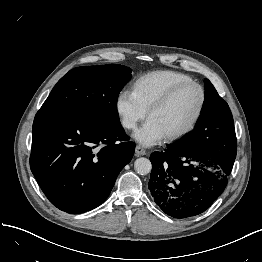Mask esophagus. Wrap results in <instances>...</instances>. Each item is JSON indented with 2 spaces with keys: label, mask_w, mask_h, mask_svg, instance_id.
I'll use <instances>...</instances> for the list:
<instances>
[{
  "label": "esophagus",
  "mask_w": 262,
  "mask_h": 262,
  "mask_svg": "<svg viewBox=\"0 0 262 262\" xmlns=\"http://www.w3.org/2000/svg\"><path fill=\"white\" fill-rule=\"evenodd\" d=\"M136 156H143L147 154V151L140 145H137L135 148Z\"/></svg>",
  "instance_id": "34e87169"
}]
</instances>
